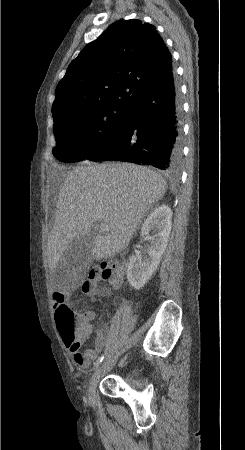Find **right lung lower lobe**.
<instances>
[{
    "label": "right lung lower lobe",
    "mask_w": 245,
    "mask_h": 450,
    "mask_svg": "<svg viewBox=\"0 0 245 450\" xmlns=\"http://www.w3.org/2000/svg\"><path fill=\"white\" fill-rule=\"evenodd\" d=\"M181 101L173 70L130 106L119 138L87 159L152 165L177 175L182 164Z\"/></svg>",
    "instance_id": "1"
}]
</instances>
